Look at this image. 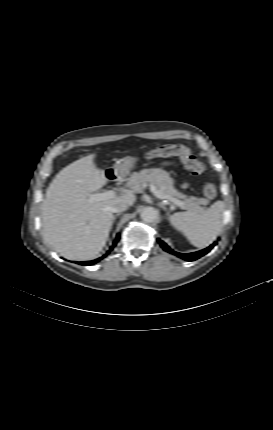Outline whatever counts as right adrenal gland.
Listing matches in <instances>:
<instances>
[{
  "instance_id": "right-adrenal-gland-1",
  "label": "right adrenal gland",
  "mask_w": 273,
  "mask_h": 430,
  "mask_svg": "<svg viewBox=\"0 0 273 430\" xmlns=\"http://www.w3.org/2000/svg\"><path fill=\"white\" fill-rule=\"evenodd\" d=\"M119 215H120V213H118V214H116V215L113 216V223H114L116 217L119 216Z\"/></svg>"
}]
</instances>
